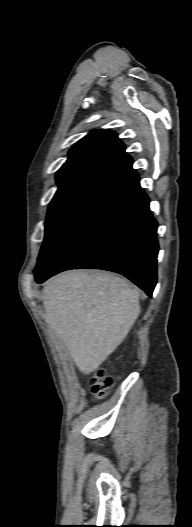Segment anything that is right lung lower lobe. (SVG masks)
I'll use <instances>...</instances> for the list:
<instances>
[{
	"mask_svg": "<svg viewBox=\"0 0 192 527\" xmlns=\"http://www.w3.org/2000/svg\"><path fill=\"white\" fill-rule=\"evenodd\" d=\"M132 164L108 181L38 262L42 283L69 269L124 275L148 296L157 282V222Z\"/></svg>",
	"mask_w": 192,
	"mask_h": 527,
	"instance_id": "right-lung-lower-lobe-1",
	"label": "right lung lower lobe"
}]
</instances>
